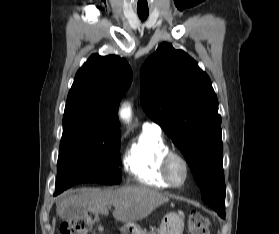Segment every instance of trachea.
<instances>
[{
	"label": "trachea",
	"instance_id": "obj_1",
	"mask_svg": "<svg viewBox=\"0 0 279 234\" xmlns=\"http://www.w3.org/2000/svg\"><path fill=\"white\" fill-rule=\"evenodd\" d=\"M138 16L141 20H146L148 17V13L138 12Z\"/></svg>",
	"mask_w": 279,
	"mask_h": 234
}]
</instances>
